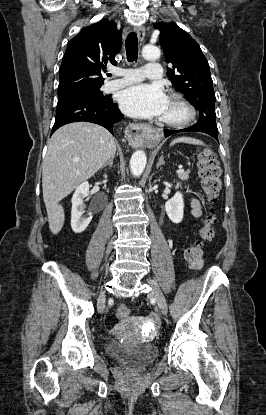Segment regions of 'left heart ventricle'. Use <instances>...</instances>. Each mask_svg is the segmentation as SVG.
I'll return each mask as SVG.
<instances>
[{
	"label": "left heart ventricle",
	"mask_w": 266,
	"mask_h": 415,
	"mask_svg": "<svg viewBox=\"0 0 266 415\" xmlns=\"http://www.w3.org/2000/svg\"><path fill=\"white\" fill-rule=\"evenodd\" d=\"M183 115V109L169 101L164 114L161 116V119L176 120L183 117Z\"/></svg>",
	"instance_id": "1"
}]
</instances>
